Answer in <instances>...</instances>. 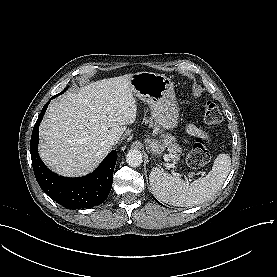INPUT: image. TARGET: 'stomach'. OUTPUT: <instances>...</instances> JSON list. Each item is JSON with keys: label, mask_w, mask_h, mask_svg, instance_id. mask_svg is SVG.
<instances>
[{"label": "stomach", "mask_w": 277, "mask_h": 277, "mask_svg": "<svg viewBox=\"0 0 277 277\" xmlns=\"http://www.w3.org/2000/svg\"><path fill=\"white\" fill-rule=\"evenodd\" d=\"M130 84L133 94L149 105L152 118L159 128L173 130L178 126L179 109L170 78L154 72H138L132 75ZM146 143L153 156H161L162 141L147 139Z\"/></svg>", "instance_id": "1"}]
</instances>
